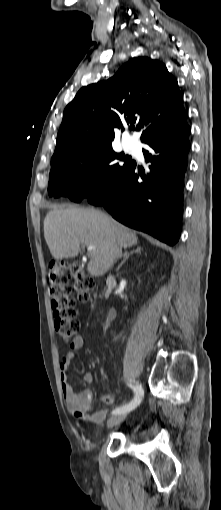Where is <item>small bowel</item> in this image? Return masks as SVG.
<instances>
[{"label":"small bowel","mask_w":221,"mask_h":510,"mask_svg":"<svg viewBox=\"0 0 221 510\" xmlns=\"http://www.w3.org/2000/svg\"><path fill=\"white\" fill-rule=\"evenodd\" d=\"M84 341L81 336H76L71 344L70 350L63 356L60 361V384L61 390L67 410L77 418L83 419L90 424H101L107 417V411L100 410L93 414H89L93 407L94 394L90 388H85L80 392H76L68 379L67 371L75 359V351L83 347ZM86 384L91 383L92 375L86 373L83 377ZM102 401L106 404H113L114 398L109 395L102 397Z\"/></svg>","instance_id":"1"}]
</instances>
